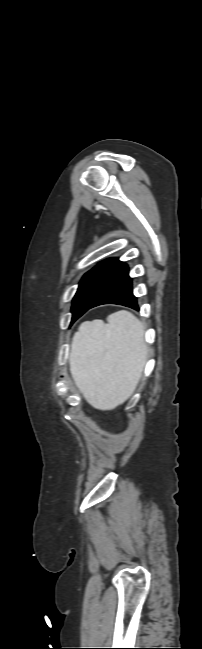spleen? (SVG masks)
<instances>
[{"label": "spleen", "instance_id": "obj_1", "mask_svg": "<svg viewBox=\"0 0 202 649\" xmlns=\"http://www.w3.org/2000/svg\"><path fill=\"white\" fill-rule=\"evenodd\" d=\"M142 323L121 310L100 321L82 323L74 335L70 373L93 407L111 410L134 392L146 362Z\"/></svg>", "mask_w": 202, "mask_h": 649}]
</instances>
